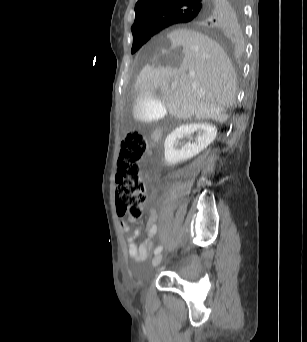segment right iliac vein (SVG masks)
Returning <instances> with one entry per match:
<instances>
[{"label": "right iliac vein", "instance_id": "63e3f726", "mask_svg": "<svg viewBox=\"0 0 307 342\" xmlns=\"http://www.w3.org/2000/svg\"><path fill=\"white\" fill-rule=\"evenodd\" d=\"M162 259H163V255L160 254V253H158V254L153 258L152 264H153L154 266H157L158 264L161 263Z\"/></svg>", "mask_w": 307, "mask_h": 342}]
</instances>
